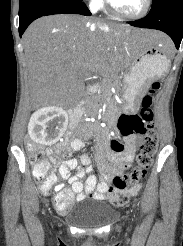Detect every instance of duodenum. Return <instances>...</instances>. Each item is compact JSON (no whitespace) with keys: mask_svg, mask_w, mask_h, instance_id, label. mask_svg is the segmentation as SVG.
<instances>
[{"mask_svg":"<svg viewBox=\"0 0 183 246\" xmlns=\"http://www.w3.org/2000/svg\"><path fill=\"white\" fill-rule=\"evenodd\" d=\"M97 91H98V86L91 85L89 87V92L91 94H94ZM80 113H85V104H77L76 108H73L69 111L70 127L73 128L76 126Z\"/></svg>","mask_w":183,"mask_h":246,"instance_id":"1","label":"duodenum"}]
</instances>
